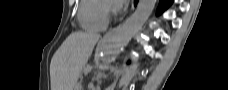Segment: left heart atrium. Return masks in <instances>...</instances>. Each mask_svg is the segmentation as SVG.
Here are the masks:
<instances>
[{
  "label": "left heart atrium",
  "instance_id": "1",
  "mask_svg": "<svg viewBox=\"0 0 228 90\" xmlns=\"http://www.w3.org/2000/svg\"><path fill=\"white\" fill-rule=\"evenodd\" d=\"M113 6L115 10L119 9V6L117 4H114Z\"/></svg>",
  "mask_w": 228,
  "mask_h": 90
}]
</instances>
